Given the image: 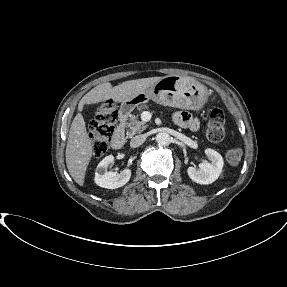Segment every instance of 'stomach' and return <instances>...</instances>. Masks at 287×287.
Segmentation results:
<instances>
[{
    "instance_id": "stomach-1",
    "label": "stomach",
    "mask_w": 287,
    "mask_h": 287,
    "mask_svg": "<svg viewBox=\"0 0 287 287\" xmlns=\"http://www.w3.org/2000/svg\"><path fill=\"white\" fill-rule=\"evenodd\" d=\"M149 100L165 106L197 111L207 101V90L193 78L167 75L145 92L122 101L119 112L122 115H128Z\"/></svg>"
}]
</instances>
